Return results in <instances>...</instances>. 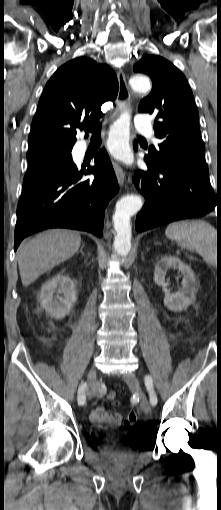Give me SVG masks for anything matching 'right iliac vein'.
<instances>
[{"instance_id": "1", "label": "right iliac vein", "mask_w": 221, "mask_h": 510, "mask_svg": "<svg viewBox=\"0 0 221 510\" xmlns=\"http://www.w3.org/2000/svg\"><path fill=\"white\" fill-rule=\"evenodd\" d=\"M88 392L87 396L91 399L97 393L96 369L92 367L88 372Z\"/></svg>"}]
</instances>
